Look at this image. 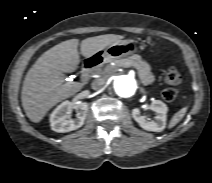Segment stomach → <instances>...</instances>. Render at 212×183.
<instances>
[{"mask_svg": "<svg viewBox=\"0 0 212 183\" xmlns=\"http://www.w3.org/2000/svg\"><path fill=\"white\" fill-rule=\"evenodd\" d=\"M150 46H155V43L149 42ZM137 50L136 42L130 40H119L108 45L102 52V57L105 60L113 61L128 57L131 53Z\"/></svg>", "mask_w": 212, "mask_h": 183, "instance_id": "obj_1", "label": "stomach"}]
</instances>
